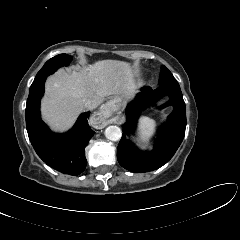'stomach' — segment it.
I'll return each instance as SVG.
<instances>
[{
    "label": "stomach",
    "instance_id": "stomach-1",
    "mask_svg": "<svg viewBox=\"0 0 240 240\" xmlns=\"http://www.w3.org/2000/svg\"><path fill=\"white\" fill-rule=\"evenodd\" d=\"M131 93V92H130ZM130 93H123V94H120V95H117L114 100H113V104L116 106V107H121L123 106L124 102H125V99H127L130 95Z\"/></svg>",
    "mask_w": 240,
    "mask_h": 240
}]
</instances>
